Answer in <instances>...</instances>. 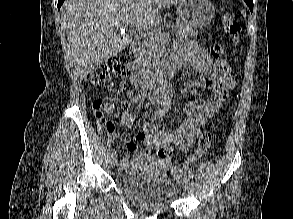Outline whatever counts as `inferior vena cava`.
I'll return each mask as SVG.
<instances>
[{
  "instance_id": "602c4592",
  "label": "inferior vena cava",
  "mask_w": 293,
  "mask_h": 219,
  "mask_svg": "<svg viewBox=\"0 0 293 219\" xmlns=\"http://www.w3.org/2000/svg\"><path fill=\"white\" fill-rule=\"evenodd\" d=\"M139 72L142 73L144 75V77H150L151 73L150 70L148 68H142V65L138 68Z\"/></svg>"
}]
</instances>
